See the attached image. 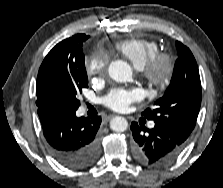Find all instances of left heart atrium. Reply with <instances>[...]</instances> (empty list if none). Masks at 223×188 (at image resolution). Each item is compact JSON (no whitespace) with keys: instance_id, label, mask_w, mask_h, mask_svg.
<instances>
[{"instance_id":"39dd6f15","label":"left heart atrium","mask_w":223,"mask_h":188,"mask_svg":"<svg viewBox=\"0 0 223 188\" xmlns=\"http://www.w3.org/2000/svg\"><path fill=\"white\" fill-rule=\"evenodd\" d=\"M142 97L143 92L140 89H116L104 98V103L108 108L122 112L126 111L132 103L141 100Z\"/></svg>"}]
</instances>
